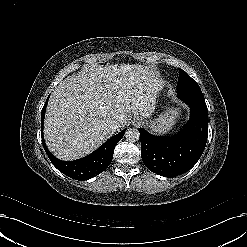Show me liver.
<instances>
[{"instance_id": "1", "label": "liver", "mask_w": 247, "mask_h": 247, "mask_svg": "<svg viewBox=\"0 0 247 247\" xmlns=\"http://www.w3.org/2000/svg\"><path fill=\"white\" fill-rule=\"evenodd\" d=\"M161 82L143 65H93L62 81L52 92L44 120V138L59 159L84 157L132 116L149 118L155 110ZM117 121L119 128L106 127Z\"/></svg>"}]
</instances>
